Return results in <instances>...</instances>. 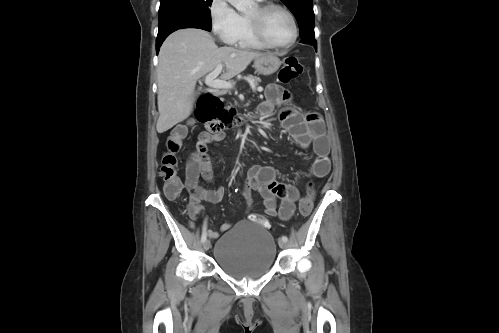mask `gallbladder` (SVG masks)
<instances>
[{
  "mask_svg": "<svg viewBox=\"0 0 499 333\" xmlns=\"http://www.w3.org/2000/svg\"><path fill=\"white\" fill-rule=\"evenodd\" d=\"M198 94H199L198 92H195V94H194V95H195V97H197V96H198Z\"/></svg>",
  "mask_w": 499,
  "mask_h": 333,
  "instance_id": "gallbladder-1",
  "label": "gallbladder"
}]
</instances>
